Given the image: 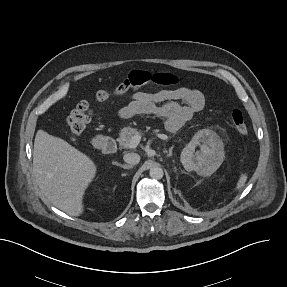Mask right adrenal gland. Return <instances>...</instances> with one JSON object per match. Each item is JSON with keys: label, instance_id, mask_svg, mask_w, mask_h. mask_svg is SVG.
I'll return each instance as SVG.
<instances>
[{"label": "right adrenal gland", "instance_id": "obj_1", "mask_svg": "<svg viewBox=\"0 0 287 287\" xmlns=\"http://www.w3.org/2000/svg\"><path fill=\"white\" fill-rule=\"evenodd\" d=\"M117 166H120L121 168H123V169H129V168H132V166H130V165H126V164H119V163H117L116 164Z\"/></svg>", "mask_w": 287, "mask_h": 287}]
</instances>
